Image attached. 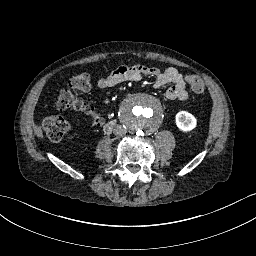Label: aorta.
<instances>
[{
  "mask_svg": "<svg viewBox=\"0 0 256 256\" xmlns=\"http://www.w3.org/2000/svg\"><path fill=\"white\" fill-rule=\"evenodd\" d=\"M124 118L131 129L138 132H147L158 125L161 118V109L154 98L147 95H138L127 102L124 109Z\"/></svg>",
  "mask_w": 256,
  "mask_h": 256,
  "instance_id": "762f6f07",
  "label": "aorta"
}]
</instances>
